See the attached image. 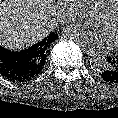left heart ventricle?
<instances>
[{"label":"left heart ventricle","mask_w":118,"mask_h":118,"mask_svg":"<svg viewBox=\"0 0 118 118\" xmlns=\"http://www.w3.org/2000/svg\"><path fill=\"white\" fill-rule=\"evenodd\" d=\"M94 22L104 27L111 38L112 44H118V8L109 16L99 13L94 19Z\"/></svg>","instance_id":"obj_1"}]
</instances>
